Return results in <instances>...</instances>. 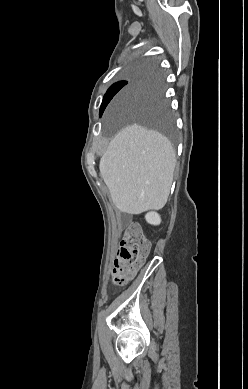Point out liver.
Wrapping results in <instances>:
<instances>
[{
    "instance_id": "1",
    "label": "liver",
    "mask_w": 248,
    "mask_h": 389,
    "mask_svg": "<svg viewBox=\"0 0 248 389\" xmlns=\"http://www.w3.org/2000/svg\"><path fill=\"white\" fill-rule=\"evenodd\" d=\"M117 99L129 103V90ZM175 165V150L164 135L133 124L111 140L99 169L115 206L125 213L140 214L164 207Z\"/></svg>"
}]
</instances>
